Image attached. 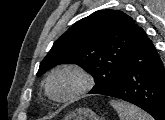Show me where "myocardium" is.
<instances>
[{
  "label": "myocardium",
  "instance_id": "f54148a6",
  "mask_svg": "<svg viewBox=\"0 0 165 120\" xmlns=\"http://www.w3.org/2000/svg\"><path fill=\"white\" fill-rule=\"evenodd\" d=\"M65 72L74 74L79 80V85L69 95L65 97H56L51 90V82L56 75ZM92 86H93V78L84 68L76 64L67 63L57 66L49 73L45 82V91L52 100L56 102L64 103L71 101L75 98H78L79 96L87 93L92 88Z\"/></svg>",
  "mask_w": 165,
  "mask_h": 120
}]
</instances>
